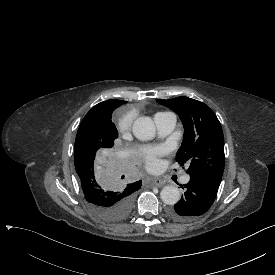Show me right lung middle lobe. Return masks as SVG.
<instances>
[{
	"label": "right lung middle lobe",
	"mask_w": 275,
	"mask_h": 275,
	"mask_svg": "<svg viewBox=\"0 0 275 275\" xmlns=\"http://www.w3.org/2000/svg\"><path fill=\"white\" fill-rule=\"evenodd\" d=\"M74 162L81 193L90 208L110 221L127 217L133 193L141 186L125 188L129 163L111 118L82 120L75 140Z\"/></svg>",
	"instance_id": "1"
}]
</instances>
